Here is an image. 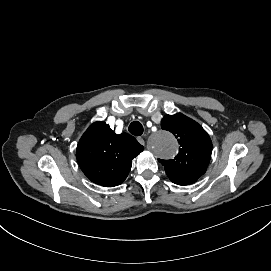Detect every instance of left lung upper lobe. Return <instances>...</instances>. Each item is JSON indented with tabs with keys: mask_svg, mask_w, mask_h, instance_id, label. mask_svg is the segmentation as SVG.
I'll return each instance as SVG.
<instances>
[{
	"mask_svg": "<svg viewBox=\"0 0 271 271\" xmlns=\"http://www.w3.org/2000/svg\"><path fill=\"white\" fill-rule=\"evenodd\" d=\"M161 128L173 133L180 144L174 159H159L167 176L177 185L196 182L210 162L212 142L209 135L200 124L181 113L166 115L161 121Z\"/></svg>",
	"mask_w": 271,
	"mask_h": 271,
	"instance_id": "1",
	"label": "left lung upper lobe"
}]
</instances>
